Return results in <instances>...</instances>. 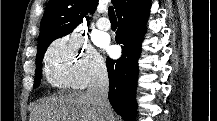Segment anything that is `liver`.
<instances>
[{
    "instance_id": "obj_1",
    "label": "liver",
    "mask_w": 217,
    "mask_h": 121,
    "mask_svg": "<svg viewBox=\"0 0 217 121\" xmlns=\"http://www.w3.org/2000/svg\"><path fill=\"white\" fill-rule=\"evenodd\" d=\"M30 121H101L97 105L87 93L51 97L38 105Z\"/></svg>"
}]
</instances>
